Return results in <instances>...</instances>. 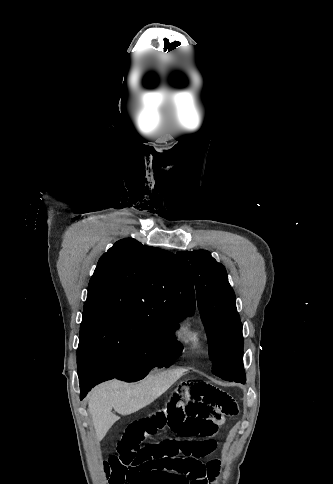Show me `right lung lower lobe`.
I'll use <instances>...</instances> for the list:
<instances>
[{"instance_id": "obj_1", "label": "right lung lower lobe", "mask_w": 333, "mask_h": 484, "mask_svg": "<svg viewBox=\"0 0 333 484\" xmlns=\"http://www.w3.org/2000/svg\"><path fill=\"white\" fill-rule=\"evenodd\" d=\"M112 378H114V374L107 372L101 364L89 366L87 373L79 376L80 398L83 399L87 392L96 384Z\"/></svg>"}]
</instances>
